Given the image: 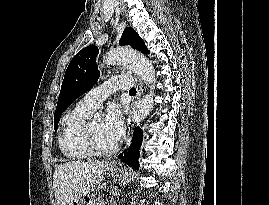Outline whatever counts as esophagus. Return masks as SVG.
<instances>
[{"mask_svg":"<svg viewBox=\"0 0 269 205\" xmlns=\"http://www.w3.org/2000/svg\"><path fill=\"white\" fill-rule=\"evenodd\" d=\"M135 81H136V90H137V93H136V96H135V99H134V102L133 104L141 97L142 93H143V86H142V82L141 80L136 77L135 78ZM133 129H134V123L131 119V115L128 116V119H127V141H126V147L130 145L131 143V136H132V133H133Z\"/></svg>","mask_w":269,"mask_h":205,"instance_id":"1","label":"esophagus"}]
</instances>
